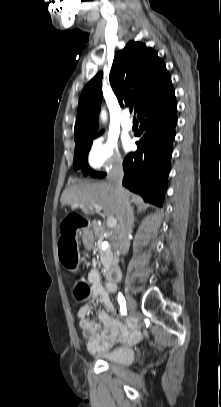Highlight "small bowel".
<instances>
[{
    "mask_svg": "<svg viewBox=\"0 0 221 407\" xmlns=\"http://www.w3.org/2000/svg\"><path fill=\"white\" fill-rule=\"evenodd\" d=\"M90 291L85 300L100 298L102 304L108 310L96 309L100 325L91 319L88 315L92 308L87 304H82L77 310V317L82 328L83 336L87 339V350L89 352H104L113 346V340L120 336V342L124 344H135L141 339V334L136 328V320L131 318L125 326L121 325L118 318L119 310L110 299V294L117 290L116 282L102 281L98 269H92L88 274Z\"/></svg>",
    "mask_w": 221,
    "mask_h": 407,
    "instance_id": "1",
    "label": "small bowel"
}]
</instances>
